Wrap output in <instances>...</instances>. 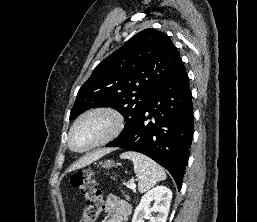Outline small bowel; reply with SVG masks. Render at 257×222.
<instances>
[{"label":"small bowel","mask_w":257,"mask_h":222,"mask_svg":"<svg viewBox=\"0 0 257 222\" xmlns=\"http://www.w3.org/2000/svg\"><path fill=\"white\" fill-rule=\"evenodd\" d=\"M104 211L109 214L107 222H127L131 213L130 205L115 195H108Z\"/></svg>","instance_id":"obj_1"}]
</instances>
